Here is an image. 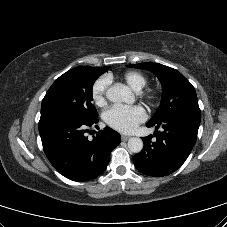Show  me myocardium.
Segmentation results:
<instances>
[{
  "mask_svg": "<svg viewBox=\"0 0 227 227\" xmlns=\"http://www.w3.org/2000/svg\"><path fill=\"white\" fill-rule=\"evenodd\" d=\"M143 96L148 100H153L155 98V94L151 90H146L143 92Z\"/></svg>",
  "mask_w": 227,
  "mask_h": 227,
  "instance_id": "1",
  "label": "myocardium"
}]
</instances>
